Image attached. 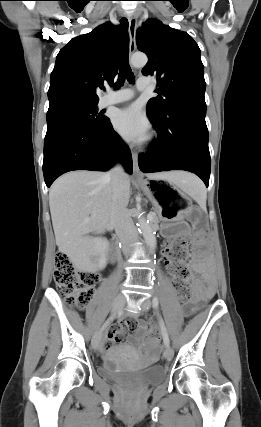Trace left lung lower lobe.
I'll use <instances>...</instances> for the list:
<instances>
[{"label": "left lung lower lobe", "mask_w": 261, "mask_h": 427, "mask_svg": "<svg viewBox=\"0 0 261 427\" xmlns=\"http://www.w3.org/2000/svg\"><path fill=\"white\" fill-rule=\"evenodd\" d=\"M205 114L206 105L193 102L176 104L162 118L148 114L158 137L150 145L152 152L139 155L140 170H186L199 176L208 187L211 158Z\"/></svg>", "instance_id": "1"}]
</instances>
